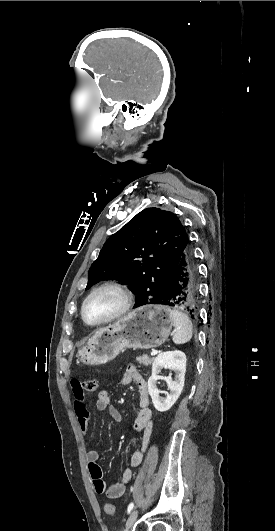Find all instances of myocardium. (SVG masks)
Instances as JSON below:
<instances>
[{
  "label": "myocardium",
  "mask_w": 275,
  "mask_h": 531,
  "mask_svg": "<svg viewBox=\"0 0 275 531\" xmlns=\"http://www.w3.org/2000/svg\"><path fill=\"white\" fill-rule=\"evenodd\" d=\"M104 291H114V292H116L121 298V305H120V307H119V309L117 311H115L113 314L109 315L105 319H102V320H99V321H96V322H90V321H88L85 318V315H84L85 304L92 297H94L95 295H97V294H99L101 292H104ZM132 300H133L132 293H131L130 289L128 288V286L126 284H124L122 282H119V281L105 282V283L95 287L82 300L81 307H80V315H81L82 320L88 325H91V326L105 325L107 323H110V322L120 318L124 314H126L129 311V309L131 308Z\"/></svg>",
  "instance_id": "f54148a6"
}]
</instances>
